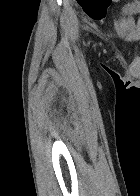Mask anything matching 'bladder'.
<instances>
[{
	"instance_id": "31cf9c89",
	"label": "bladder",
	"mask_w": 140,
	"mask_h": 196,
	"mask_svg": "<svg viewBox=\"0 0 140 196\" xmlns=\"http://www.w3.org/2000/svg\"><path fill=\"white\" fill-rule=\"evenodd\" d=\"M133 17L140 18V1L133 0L121 5L116 13V18L119 22L128 20Z\"/></svg>"
}]
</instances>
